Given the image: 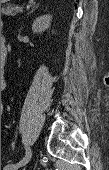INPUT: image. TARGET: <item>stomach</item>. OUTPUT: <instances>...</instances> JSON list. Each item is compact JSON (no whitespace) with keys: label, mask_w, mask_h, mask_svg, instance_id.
<instances>
[{"label":"stomach","mask_w":109,"mask_h":170,"mask_svg":"<svg viewBox=\"0 0 109 170\" xmlns=\"http://www.w3.org/2000/svg\"><path fill=\"white\" fill-rule=\"evenodd\" d=\"M10 0H1V4H4V3H7L9 2Z\"/></svg>","instance_id":"0dacf381"}]
</instances>
